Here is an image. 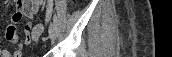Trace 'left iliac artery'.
<instances>
[{
	"instance_id": "left-iliac-artery-1",
	"label": "left iliac artery",
	"mask_w": 172,
	"mask_h": 57,
	"mask_svg": "<svg viewBox=\"0 0 172 57\" xmlns=\"http://www.w3.org/2000/svg\"><path fill=\"white\" fill-rule=\"evenodd\" d=\"M53 11V2L51 0L48 1V9H47V15L51 16ZM53 23L55 25H58V19L56 16L53 17Z\"/></svg>"
}]
</instances>
